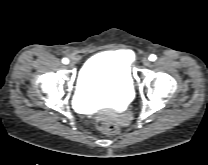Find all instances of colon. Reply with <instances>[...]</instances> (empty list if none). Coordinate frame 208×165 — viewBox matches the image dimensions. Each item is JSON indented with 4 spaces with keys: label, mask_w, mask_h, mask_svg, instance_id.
<instances>
[{
    "label": "colon",
    "mask_w": 208,
    "mask_h": 165,
    "mask_svg": "<svg viewBox=\"0 0 208 165\" xmlns=\"http://www.w3.org/2000/svg\"><path fill=\"white\" fill-rule=\"evenodd\" d=\"M96 124L98 129L105 134L113 135L118 132L117 124L112 119L106 116H99Z\"/></svg>",
    "instance_id": "colon-1"
}]
</instances>
